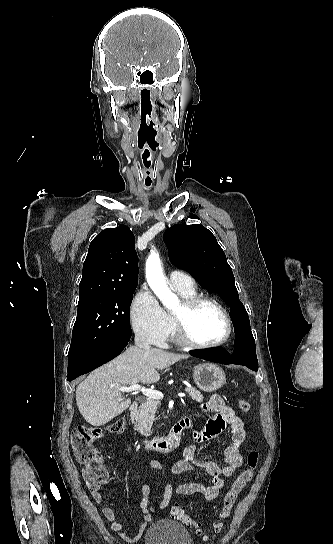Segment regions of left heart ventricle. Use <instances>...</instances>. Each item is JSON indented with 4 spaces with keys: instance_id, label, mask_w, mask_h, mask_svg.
<instances>
[{
    "instance_id": "left-heart-ventricle-1",
    "label": "left heart ventricle",
    "mask_w": 333,
    "mask_h": 544,
    "mask_svg": "<svg viewBox=\"0 0 333 544\" xmlns=\"http://www.w3.org/2000/svg\"><path fill=\"white\" fill-rule=\"evenodd\" d=\"M181 305L175 310L180 312ZM189 331L199 343H213L222 339L226 333L225 318L220 309L212 304L206 303L188 318Z\"/></svg>"
}]
</instances>
